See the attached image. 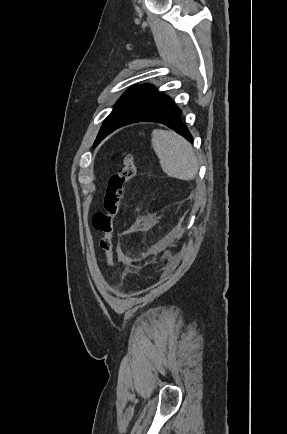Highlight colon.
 <instances>
[{
	"label": "colon",
	"instance_id": "obj_1",
	"mask_svg": "<svg viewBox=\"0 0 287 434\" xmlns=\"http://www.w3.org/2000/svg\"><path fill=\"white\" fill-rule=\"evenodd\" d=\"M136 166L132 154L126 153L119 171L107 185L103 197V210L95 213L93 225L100 233L99 247L104 254V264L110 269L113 263L114 223L121 210L126 187L136 175Z\"/></svg>",
	"mask_w": 287,
	"mask_h": 434
}]
</instances>
